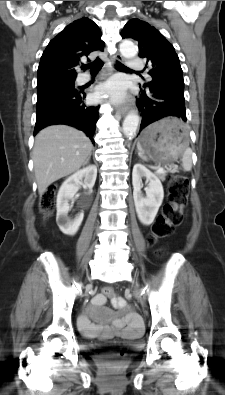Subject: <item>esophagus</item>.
Instances as JSON below:
<instances>
[{"instance_id":"obj_1","label":"esophagus","mask_w":225,"mask_h":395,"mask_svg":"<svg viewBox=\"0 0 225 395\" xmlns=\"http://www.w3.org/2000/svg\"><path fill=\"white\" fill-rule=\"evenodd\" d=\"M120 61H122V56L119 55V54H116V55H114V56L111 58V63H112L113 65H115V66H116L117 63L120 62ZM128 110H129V105L127 104V105H124V106H122V107H119V108L117 109L116 114H120V115L124 116V115L127 114Z\"/></svg>"}]
</instances>
